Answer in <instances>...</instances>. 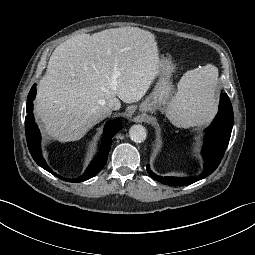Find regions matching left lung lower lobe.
<instances>
[{"mask_svg":"<svg viewBox=\"0 0 255 255\" xmlns=\"http://www.w3.org/2000/svg\"><path fill=\"white\" fill-rule=\"evenodd\" d=\"M233 121L231 102L228 95L222 93L220 95L218 114L211 126L206 129L207 134L202 150L205 161L203 172L195 177H161L154 174L149 166H146L147 172L152 178L166 185L184 186L205 178L216 170L224 156L230 140Z\"/></svg>","mask_w":255,"mask_h":255,"instance_id":"1","label":"left lung lower lobe"}]
</instances>
